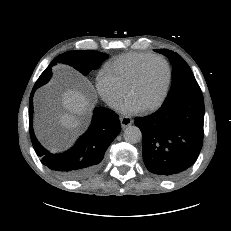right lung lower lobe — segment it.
<instances>
[{"mask_svg":"<svg viewBox=\"0 0 231 231\" xmlns=\"http://www.w3.org/2000/svg\"><path fill=\"white\" fill-rule=\"evenodd\" d=\"M33 89L29 103V130L36 154L41 162L58 175L67 179H81L94 173L100 166L104 154L120 132L118 115L104 107L95 108L88 131L70 150L52 154L35 137L33 121Z\"/></svg>","mask_w":231,"mask_h":231,"instance_id":"1","label":"right lung lower lobe"}]
</instances>
